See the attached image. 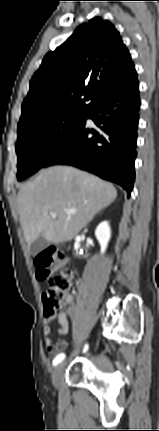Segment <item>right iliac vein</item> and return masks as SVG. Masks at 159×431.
<instances>
[{"instance_id": "63e3f726", "label": "right iliac vein", "mask_w": 159, "mask_h": 431, "mask_svg": "<svg viewBox=\"0 0 159 431\" xmlns=\"http://www.w3.org/2000/svg\"><path fill=\"white\" fill-rule=\"evenodd\" d=\"M65 363H60L58 366L55 367L53 371V384L55 387H58L61 377L65 370Z\"/></svg>"}]
</instances>
